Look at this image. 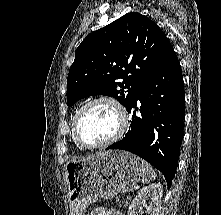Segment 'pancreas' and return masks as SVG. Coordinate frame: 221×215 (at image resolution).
Instances as JSON below:
<instances>
[{
    "label": "pancreas",
    "instance_id": "pancreas-1",
    "mask_svg": "<svg viewBox=\"0 0 221 215\" xmlns=\"http://www.w3.org/2000/svg\"><path fill=\"white\" fill-rule=\"evenodd\" d=\"M116 203H117V205H118L119 207H121L122 204H126L127 201H122V200H120V198H117V199H116Z\"/></svg>",
    "mask_w": 221,
    "mask_h": 215
}]
</instances>
